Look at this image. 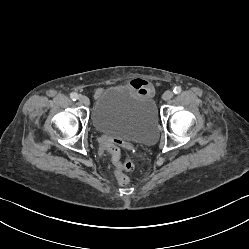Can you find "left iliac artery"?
Listing matches in <instances>:
<instances>
[{
  "mask_svg": "<svg viewBox=\"0 0 249 249\" xmlns=\"http://www.w3.org/2000/svg\"><path fill=\"white\" fill-rule=\"evenodd\" d=\"M181 91H182V89H181L180 86H176V87L173 89L174 94H179V93H181Z\"/></svg>",
  "mask_w": 249,
  "mask_h": 249,
  "instance_id": "1",
  "label": "left iliac artery"
}]
</instances>
